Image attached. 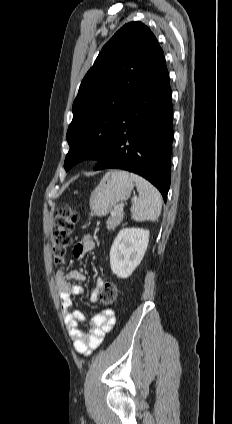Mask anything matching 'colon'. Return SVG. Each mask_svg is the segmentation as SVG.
I'll return each instance as SVG.
<instances>
[{
    "mask_svg": "<svg viewBox=\"0 0 232 424\" xmlns=\"http://www.w3.org/2000/svg\"><path fill=\"white\" fill-rule=\"evenodd\" d=\"M77 220L78 214L71 205L62 204L58 208L56 219L51 229V254L55 264H60L64 261ZM117 296L118 290L115 283L112 281L104 282L98 295L100 302L103 305H111L115 303Z\"/></svg>",
    "mask_w": 232,
    "mask_h": 424,
    "instance_id": "5ec220e1",
    "label": "colon"
}]
</instances>
